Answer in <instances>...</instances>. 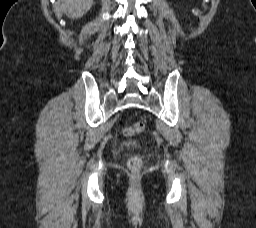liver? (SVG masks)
Masks as SVG:
<instances>
[{
    "instance_id": "obj_1",
    "label": "liver",
    "mask_w": 256,
    "mask_h": 228,
    "mask_svg": "<svg viewBox=\"0 0 256 228\" xmlns=\"http://www.w3.org/2000/svg\"><path fill=\"white\" fill-rule=\"evenodd\" d=\"M93 0H62V10L70 18H80L87 13Z\"/></svg>"
}]
</instances>
